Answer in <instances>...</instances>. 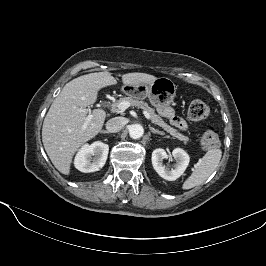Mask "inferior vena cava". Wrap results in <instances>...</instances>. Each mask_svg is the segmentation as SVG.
<instances>
[{
    "label": "inferior vena cava",
    "instance_id": "1",
    "mask_svg": "<svg viewBox=\"0 0 266 266\" xmlns=\"http://www.w3.org/2000/svg\"><path fill=\"white\" fill-rule=\"evenodd\" d=\"M126 124L125 118L115 117L107 121L106 129L110 133L119 132Z\"/></svg>",
    "mask_w": 266,
    "mask_h": 266
}]
</instances>
